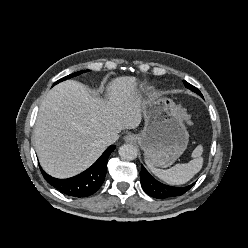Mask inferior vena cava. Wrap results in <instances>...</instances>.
Returning a JSON list of instances; mask_svg holds the SVG:
<instances>
[{"mask_svg":"<svg viewBox=\"0 0 248 248\" xmlns=\"http://www.w3.org/2000/svg\"><path fill=\"white\" fill-rule=\"evenodd\" d=\"M118 139V135L117 134H110L107 135L103 138L102 142L106 145H111L114 142H116V140Z\"/></svg>","mask_w":248,"mask_h":248,"instance_id":"602c4592","label":"inferior vena cava"}]
</instances>
